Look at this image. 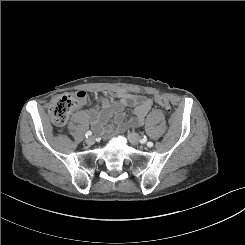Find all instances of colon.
Here are the masks:
<instances>
[{
    "label": "colon",
    "mask_w": 245,
    "mask_h": 245,
    "mask_svg": "<svg viewBox=\"0 0 245 245\" xmlns=\"http://www.w3.org/2000/svg\"><path fill=\"white\" fill-rule=\"evenodd\" d=\"M87 93L78 91L74 94H62L54 97L49 106V114L54 124L63 126L72 110L79 102L86 99ZM156 103L166 112H171L172 106L169 100L161 95L155 97Z\"/></svg>",
    "instance_id": "5ec220e1"
}]
</instances>
